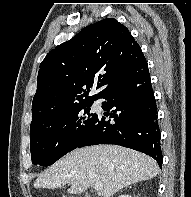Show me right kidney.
I'll list each match as a JSON object with an SVG mask.
<instances>
[{
  "mask_svg": "<svg viewBox=\"0 0 191 197\" xmlns=\"http://www.w3.org/2000/svg\"><path fill=\"white\" fill-rule=\"evenodd\" d=\"M118 197H132L131 195H128V194H123V195H120Z\"/></svg>",
  "mask_w": 191,
  "mask_h": 197,
  "instance_id": "ca27d5eb",
  "label": "right kidney"
}]
</instances>
